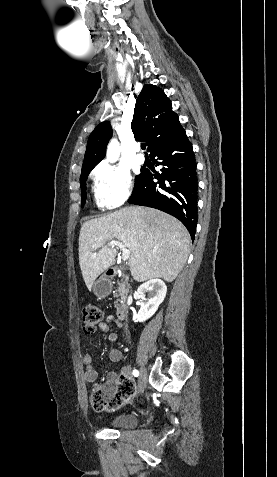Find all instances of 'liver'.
<instances>
[{"mask_svg": "<svg viewBox=\"0 0 277 477\" xmlns=\"http://www.w3.org/2000/svg\"><path fill=\"white\" fill-rule=\"evenodd\" d=\"M113 239L130 250V272L137 282L174 281L187 261L191 242L179 220L153 208L130 206L88 220L80 230L79 263L89 291L115 261L117 250L107 246Z\"/></svg>", "mask_w": 277, "mask_h": 477, "instance_id": "obj_1", "label": "liver"}]
</instances>
